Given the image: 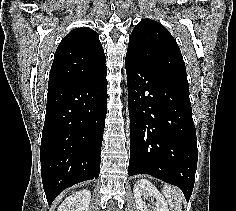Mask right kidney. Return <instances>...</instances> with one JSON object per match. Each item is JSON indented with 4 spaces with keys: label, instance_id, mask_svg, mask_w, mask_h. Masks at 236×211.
Returning a JSON list of instances; mask_svg holds the SVG:
<instances>
[{
    "label": "right kidney",
    "instance_id": "1",
    "mask_svg": "<svg viewBox=\"0 0 236 211\" xmlns=\"http://www.w3.org/2000/svg\"><path fill=\"white\" fill-rule=\"evenodd\" d=\"M91 200L89 190H81L68 196L59 206L58 211H88Z\"/></svg>",
    "mask_w": 236,
    "mask_h": 211
}]
</instances>
